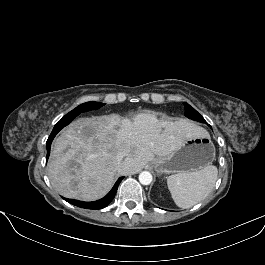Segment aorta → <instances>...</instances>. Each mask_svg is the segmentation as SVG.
<instances>
[{
	"label": "aorta",
	"mask_w": 265,
	"mask_h": 265,
	"mask_svg": "<svg viewBox=\"0 0 265 265\" xmlns=\"http://www.w3.org/2000/svg\"><path fill=\"white\" fill-rule=\"evenodd\" d=\"M153 180L152 174L148 171H143L139 174V182L142 185H149Z\"/></svg>",
	"instance_id": "1"
}]
</instances>
